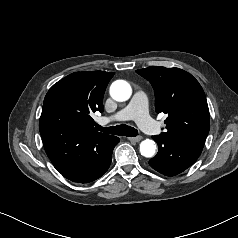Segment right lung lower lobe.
<instances>
[{
    "label": "right lung lower lobe",
    "mask_w": 238,
    "mask_h": 238,
    "mask_svg": "<svg viewBox=\"0 0 238 238\" xmlns=\"http://www.w3.org/2000/svg\"><path fill=\"white\" fill-rule=\"evenodd\" d=\"M119 141L118 137L112 136L98 148V151L88 164L64 173L63 176L78 183H88L98 179L108 170L112 160L113 149Z\"/></svg>",
    "instance_id": "1"
}]
</instances>
